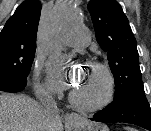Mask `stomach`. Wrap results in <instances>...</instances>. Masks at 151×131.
I'll list each match as a JSON object with an SVG mask.
<instances>
[{"label": "stomach", "instance_id": "stomach-1", "mask_svg": "<svg viewBox=\"0 0 151 131\" xmlns=\"http://www.w3.org/2000/svg\"><path fill=\"white\" fill-rule=\"evenodd\" d=\"M72 128L75 131H109L106 125L95 122H82L73 125Z\"/></svg>", "mask_w": 151, "mask_h": 131}]
</instances>
